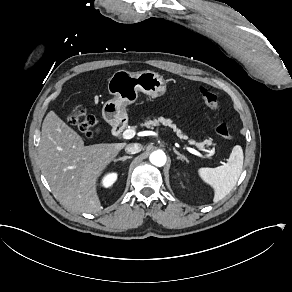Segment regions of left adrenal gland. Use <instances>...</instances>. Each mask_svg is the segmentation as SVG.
Here are the masks:
<instances>
[{
	"instance_id": "1",
	"label": "left adrenal gland",
	"mask_w": 292,
	"mask_h": 292,
	"mask_svg": "<svg viewBox=\"0 0 292 292\" xmlns=\"http://www.w3.org/2000/svg\"><path fill=\"white\" fill-rule=\"evenodd\" d=\"M173 150H174V152L177 154V159L185 160V161L188 162V159H187L184 155L180 154V153L175 149V147H173Z\"/></svg>"
}]
</instances>
